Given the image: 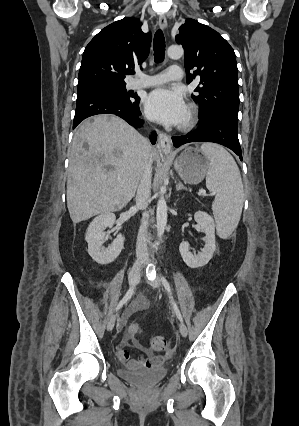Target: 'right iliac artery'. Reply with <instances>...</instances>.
<instances>
[{
  "label": "right iliac artery",
  "mask_w": 299,
  "mask_h": 426,
  "mask_svg": "<svg viewBox=\"0 0 299 426\" xmlns=\"http://www.w3.org/2000/svg\"><path fill=\"white\" fill-rule=\"evenodd\" d=\"M135 291V287H131L125 294V296L122 298V300L118 303L117 307H116V311L119 310L127 301L130 300V298L132 297V295L134 294Z\"/></svg>",
  "instance_id": "1"
}]
</instances>
